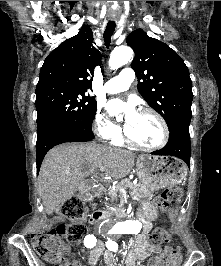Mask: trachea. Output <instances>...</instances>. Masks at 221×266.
Returning a JSON list of instances; mask_svg holds the SVG:
<instances>
[{"mask_svg": "<svg viewBox=\"0 0 221 266\" xmlns=\"http://www.w3.org/2000/svg\"><path fill=\"white\" fill-rule=\"evenodd\" d=\"M116 24L114 21H109L106 27V30L104 32V42L106 47L110 46L111 43V37L113 35V32L115 31Z\"/></svg>", "mask_w": 221, "mask_h": 266, "instance_id": "obj_1", "label": "trachea"}]
</instances>
